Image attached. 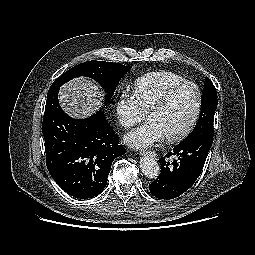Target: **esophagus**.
<instances>
[{
	"label": "esophagus",
	"instance_id": "obj_1",
	"mask_svg": "<svg viewBox=\"0 0 255 255\" xmlns=\"http://www.w3.org/2000/svg\"><path fill=\"white\" fill-rule=\"evenodd\" d=\"M140 155H143V156L150 155L152 157H156V153L153 151H140Z\"/></svg>",
	"mask_w": 255,
	"mask_h": 255
}]
</instances>
